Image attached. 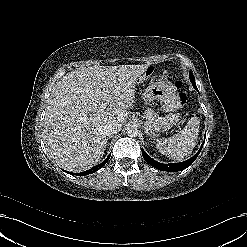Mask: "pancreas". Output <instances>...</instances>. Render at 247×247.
<instances>
[{"label": "pancreas", "mask_w": 247, "mask_h": 247, "mask_svg": "<svg viewBox=\"0 0 247 247\" xmlns=\"http://www.w3.org/2000/svg\"><path fill=\"white\" fill-rule=\"evenodd\" d=\"M146 118V127L149 129H167L172 125L171 117H160L154 110L147 108L144 112Z\"/></svg>", "instance_id": "1"}]
</instances>
